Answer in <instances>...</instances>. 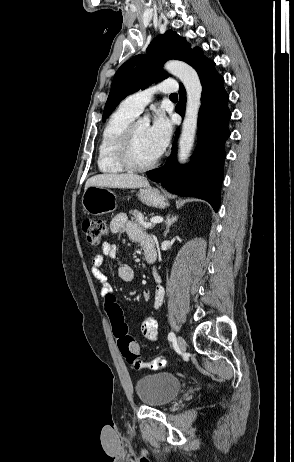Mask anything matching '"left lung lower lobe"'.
<instances>
[{
  "instance_id": "1",
  "label": "left lung lower lobe",
  "mask_w": 294,
  "mask_h": 462,
  "mask_svg": "<svg viewBox=\"0 0 294 462\" xmlns=\"http://www.w3.org/2000/svg\"><path fill=\"white\" fill-rule=\"evenodd\" d=\"M196 71L203 89L198 117V145L192 160L185 166L179 165L176 160L178 130L165 166L149 171L147 175L151 180L161 182L174 194L208 201L217 212L223 181L224 143L230 135L228 121L231 113L227 107L229 96L223 86V77L215 70L214 61L208 60ZM179 95L176 112L183 117L186 92L182 84Z\"/></svg>"
}]
</instances>
